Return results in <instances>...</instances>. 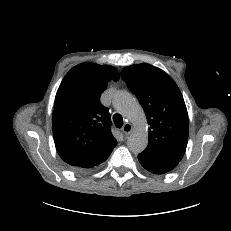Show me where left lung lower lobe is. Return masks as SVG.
<instances>
[{
	"label": "left lung lower lobe",
	"mask_w": 231,
	"mask_h": 231,
	"mask_svg": "<svg viewBox=\"0 0 231 231\" xmlns=\"http://www.w3.org/2000/svg\"><path fill=\"white\" fill-rule=\"evenodd\" d=\"M140 164L149 172L154 174H164L175 168L178 162L157 158L145 153L138 155Z\"/></svg>",
	"instance_id": "0a47b994"
}]
</instances>
